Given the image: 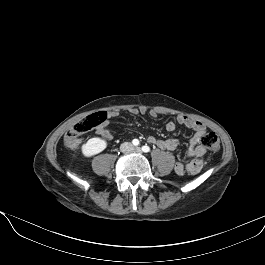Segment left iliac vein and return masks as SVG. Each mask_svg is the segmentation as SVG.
<instances>
[{
	"label": "left iliac vein",
	"mask_w": 265,
	"mask_h": 265,
	"mask_svg": "<svg viewBox=\"0 0 265 265\" xmlns=\"http://www.w3.org/2000/svg\"><path fill=\"white\" fill-rule=\"evenodd\" d=\"M133 150H134L135 152H138V153L141 152V149H140L139 147H136V148H134Z\"/></svg>",
	"instance_id": "left-iliac-vein-1"
}]
</instances>
